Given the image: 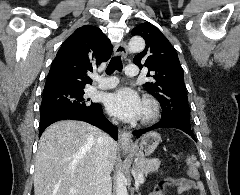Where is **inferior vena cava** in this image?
Segmentation results:
<instances>
[{"instance_id":"obj_1","label":"inferior vena cava","mask_w":240,"mask_h":195,"mask_svg":"<svg viewBox=\"0 0 240 195\" xmlns=\"http://www.w3.org/2000/svg\"><path fill=\"white\" fill-rule=\"evenodd\" d=\"M114 143V139L108 133H101L96 147V181L94 195H112V179L108 161V145Z\"/></svg>"}]
</instances>
